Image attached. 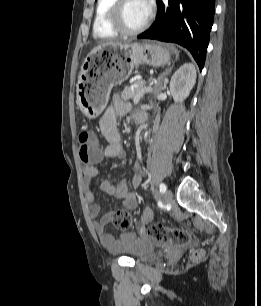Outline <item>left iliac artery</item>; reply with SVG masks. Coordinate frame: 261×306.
<instances>
[{
    "mask_svg": "<svg viewBox=\"0 0 261 306\" xmlns=\"http://www.w3.org/2000/svg\"><path fill=\"white\" fill-rule=\"evenodd\" d=\"M159 188H160V192L163 194L165 193L167 187L164 183H160Z\"/></svg>",
    "mask_w": 261,
    "mask_h": 306,
    "instance_id": "44dca946",
    "label": "left iliac artery"
}]
</instances>
